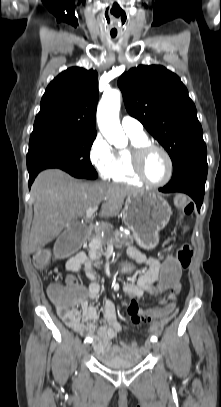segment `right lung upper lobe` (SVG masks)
<instances>
[{
	"mask_svg": "<svg viewBox=\"0 0 221 407\" xmlns=\"http://www.w3.org/2000/svg\"><path fill=\"white\" fill-rule=\"evenodd\" d=\"M98 74L94 70L72 67L48 85L34 122V130L68 129L96 134Z\"/></svg>",
	"mask_w": 221,
	"mask_h": 407,
	"instance_id": "right-lung-upper-lobe-1",
	"label": "right lung upper lobe"
}]
</instances>
